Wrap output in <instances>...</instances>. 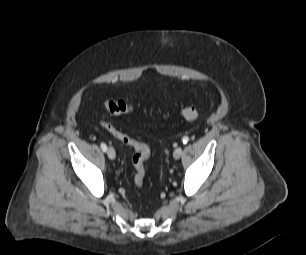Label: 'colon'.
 <instances>
[{"instance_id": "obj_1", "label": "colon", "mask_w": 306, "mask_h": 255, "mask_svg": "<svg viewBox=\"0 0 306 255\" xmlns=\"http://www.w3.org/2000/svg\"><path fill=\"white\" fill-rule=\"evenodd\" d=\"M104 109L109 114L116 116L129 115L134 112L133 105L121 99L107 100L104 103ZM180 113L189 121H194L199 116L198 110L194 106L188 104H184L180 107ZM100 125L114 138L130 146L134 150L132 156V164L135 171L134 184L137 188H142L145 178V162L150 157L151 153L150 147L146 143L129 136L104 120H100Z\"/></svg>"}]
</instances>
